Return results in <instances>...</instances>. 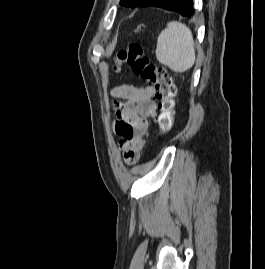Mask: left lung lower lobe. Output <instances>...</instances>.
Returning <instances> with one entry per match:
<instances>
[{
  "label": "left lung lower lobe",
  "mask_w": 265,
  "mask_h": 269,
  "mask_svg": "<svg viewBox=\"0 0 265 269\" xmlns=\"http://www.w3.org/2000/svg\"><path fill=\"white\" fill-rule=\"evenodd\" d=\"M160 7L166 10L175 11L182 16L192 17L195 10L192 6V0H145L138 7Z\"/></svg>",
  "instance_id": "left-lung-lower-lobe-1"
}]
</instances>
